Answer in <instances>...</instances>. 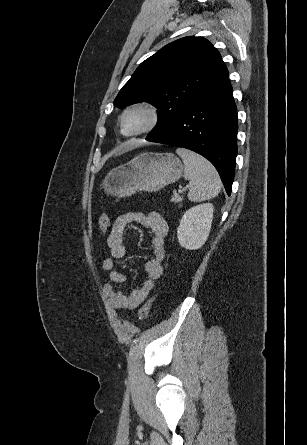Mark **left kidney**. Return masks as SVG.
Wrapping results in <instances>:
<instances>
[{"instance_id":"5707ae66","label":"left kidney","mask_w":307,"mask_h":445,"mask_svg":"<svg viewBox=\"0 0 307 445\" xmlns=\"http://www.w3.org/2000/svg\"><path fill=\"white\" fill-rule=\"evenodd\" d=\"M213 218V204L204 202L188 208L183 214L177 231L181 247L195 251L206 243Z\"/></svg>"}]
</instances>
